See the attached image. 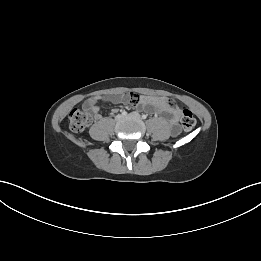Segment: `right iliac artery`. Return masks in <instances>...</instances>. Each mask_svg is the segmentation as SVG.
<instances>
[{"label": "right iliac artery", "mask_w": 261, "mask_h": 261, "mask_svg": "<svg viewBox=\"0 0 261 261\" xmlns=\"http://www.w3.org/2000/svg\"><path fill=\"white\" fill-rule=\"evenodd\" d=\"M122 115H123V116H126V115H127V112H126V111H122Z\"/></svg>", "instance_id": "obj_1"}]
</instances>
